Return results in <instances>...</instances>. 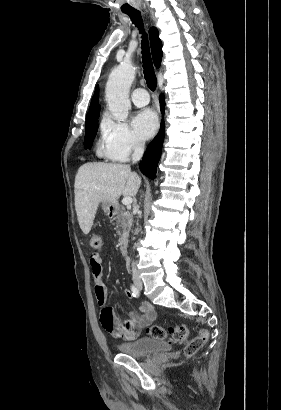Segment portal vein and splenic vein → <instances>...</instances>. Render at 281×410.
<instances>
[{
	"mask_svg": "<svg viewBox=\"0 0 281 410\" xmlns=\"http://www.w3.org/2000/svg\"><path fill=\"white\" fill-rule=\"evenodd\" d=\"M132 198L131 197H124L123 198V200H122V203L124 204V205H126L127 207H130L131 206V204H132Z\"/></svg>",
	"mask_w": 281,
	"mask_h": 410,
	"instance_id": "1",
	"label": "portal vein and splenic vein"
}]
</instances>
